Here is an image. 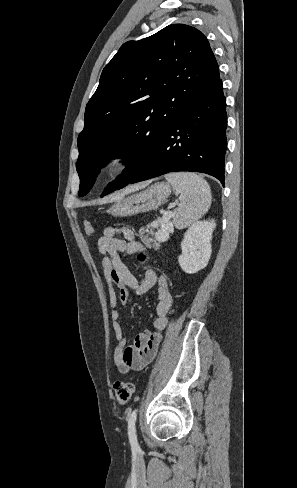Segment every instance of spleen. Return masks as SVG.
Masks as SVG:
<instances>
[{
	"mask_svg": "<svg viewBox=\"0 0 297 488\" xmlns=\"http://www.w3.org/2000/svg\"><path fill=\"white\" fill-rule=\"evenodd\" d=\"M166 180L180 197L178 208L173 213L177 228H185L203 216L211 205V191L208 183L193 173H169Z\"/></svg>",
	"mask_w": 297,
	"mask_h": 488,
	"instance_id": "1",
	"label": "spleen"
}]
</instances>
